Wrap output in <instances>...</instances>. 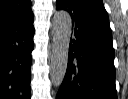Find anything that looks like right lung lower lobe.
<instances>
[{"mask_svg":"<svg viewBox=\"0 0 128 99\" xmlns=\"http://www.w3.org/2000/svg\"><path fill=\"white\" fill-rule=\"evenodd\" d=\"M32 11L0 30V99H30Z\"/></svg>","mask_w":128,"mask_h":99,"instance_id":"obj_1","label":"right lung lower lobe"}]
</instances>
